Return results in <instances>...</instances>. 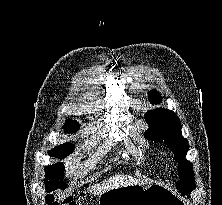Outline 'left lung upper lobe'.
Instances as JSON below:
<instances>
[{
  "label": "left lung upper lobe",
  "instance_id": "5c2ea615",
  "mask_svg": "<svg viewBox=\"0 0 222 205\" xmlns=\"http://www.w3.org/2000/svg\"><path fill=\"white\" fill-rule=\"evenodd\" d=\"M149 100L152 104L161 101V96L156 90L149 92ZM145 119L149 124L145 137L153 141H164L173 150L175 160L178 162L180 180L176 187L182 194H190L195 187L192 163L185 156L189 150L187 140L182 136L181 123L177 115L168 109L157 108L148 111Z\"/></svg>",
  "mask_w": 222,
  "mask_h": 205
}]
</instances>
